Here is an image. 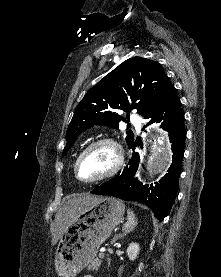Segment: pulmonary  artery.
Listing matches in <instances>:
<instances>
[{
  "instance_id": "pulmonary-artery-1",
  "label": "pulmonary artery",
  "mask_w": 221,
  "mask_h": 277,
  "mask_svg": "<svg viewBox=\"0 0 221 277\" xmlns=\"http://www.w3.org/2000/svg\"><path fill=\"white\" fill-rule=\"evenodd\" d=\"M131 120L137 124V117L135 115H131Z\"/></svg>"
}]
</instances>
